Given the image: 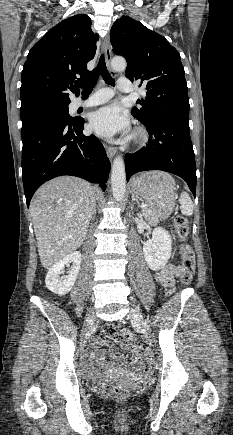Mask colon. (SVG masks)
Returning a JSON list of instances; mask_svg holds the SVG:
<instances>
[{"label": "colon", "mask_w": 233, "mask_h": 435, "mask_svg": "<svg viewBox=\"0 0 233 435\" xmlns=\"http://www.w3.org/2000/svg\"><path fill=\"white\" fill-rule=\"evenodd\" d=\"M174 227L176 238L179 243L180 263L185 272L182 274L181 283L188 287L192 280V272L195 267L194 252L190 245L187 243L189 225L188 221L183 216H176L174 219ZM102 332L108 337H112L115 342L122 343L126 341L129 349L139 352L141 350L140 344L135 339L134 335L128 330L117 332L113 326L105 325L102 327ZM101 393L109 398L116 400H124L129 396L130 391L118 384L105 382L100 385Z\"/></svg>", "instance_id": "5ec220e1"}]
</instances>
